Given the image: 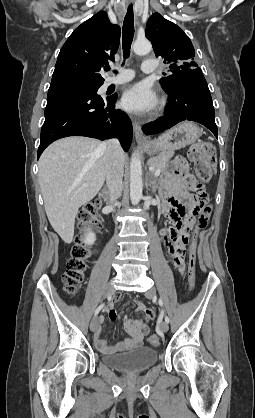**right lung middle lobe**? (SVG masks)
Here are the masks:
<instances>
[{
	"instance_id": "1",
	"label": "right lung middle lobe",
	"mask_w": 255,
	"mask_h": 418,
	"mask_svg": "<svg viewBox=\"0 0 255 418\" xmlns=\"http://www.w3.org/2000/svg\"><path fill=\"white\" fill-rule=\"evenodd\" d=\"M102 84H73L68 86H63L59 88H85V89H98Z\"/></svg>"
}]
</instances>
